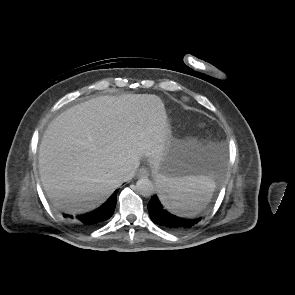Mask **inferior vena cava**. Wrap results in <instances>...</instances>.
Segmentation results:
<instances>
[{
    "label": "inferior vena cava",
    "mask_w": 295,
    "mask_h": 295,
    "mask_svg": "<svg viewBox=\"0 0 295 295\" xmlns=\"http://www.w3.org/2000/svg\"><path fill=\"white\" fill-rule=\"evenodd\" d=\"M134 175H135V170L132 169L124 176L123 181H127V180L132 179L134 177Z\"/></svg>",
    "instance_id": "inferior-vena-cava-1"
}]
</instances>
